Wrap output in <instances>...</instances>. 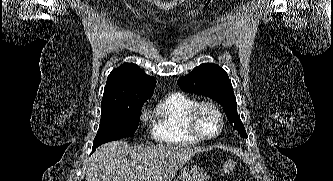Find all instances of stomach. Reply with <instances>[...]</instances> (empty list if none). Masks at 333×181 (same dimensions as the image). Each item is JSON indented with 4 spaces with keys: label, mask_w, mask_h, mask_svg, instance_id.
I'll return each instance as SVG.
<instances>
[{
    "label": "stomach",
    "mask_w": 333,
    "mask_h": 181,
    "mask_svg": "<svg viewBox=\"0 0 333 181\" xmlns=\"http://www.w3.org/2000/svg\"><path fill=\"white\" fill-rule=\"evenodd\" d=\"M206 172L197 165H188L181 170L182 181H206Z\"/></svg>",
    "instance_id": "1"
}]
</instances>
